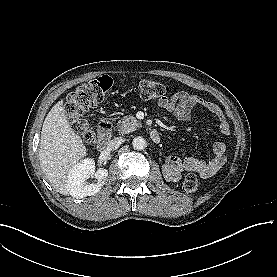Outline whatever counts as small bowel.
I'll list each match as a JSON object with an SVG mask.
<instances>
[{"label":"small bowel","instance_id":"c3829d8e","mask_svg":"<svg viewBox=\"0 0 277 277\" xmlns=\"http://www.w3.org/2000/svg\"><path fill=\"white\" fill-rule=\"evenodd\" d=\"M158 105L174 115L180 121L189 120L192 108L197 105L201 106L219 117V129L223 134H228L230 131L229 125L224 120L219 107L194 94L179 91L171 98L160 99ZM225 148L226 146L224 143L216 142L213 146L214 157L208 162L193 157H187L184 160H181L175 156H170L166 160V169L168 171L181 169L197 173L201 176H208L214 168H217L224 163Z\"/></svg>","mask_w":277,"mask_h":277}]
</instances>
